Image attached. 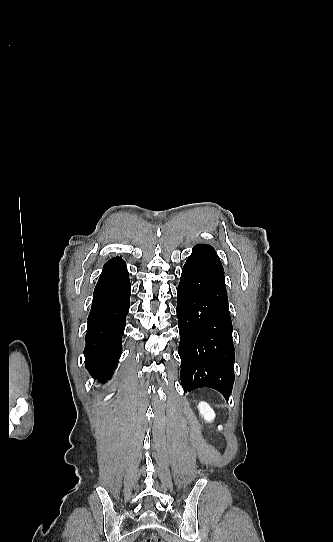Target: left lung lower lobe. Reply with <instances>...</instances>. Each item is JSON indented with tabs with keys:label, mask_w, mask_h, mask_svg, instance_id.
Wrapping results in <instances>:
<instances>
[{
	"label": "left lung lower lobe",
	"mask_w": 333,
	"mask_h": 542,
	"mask_svg": "<svg viewBox=\"0 0 333 542\" xmlns=\"http://www.w3.org/2000/svg\"><path fill=\"white\" fill-rule=\"evenodd\" d=\"M184 392L210 387L229 399L234 383L232 321L223 266L212 246L198 244L177 289Z\"/></svg>",
	"instance_id": "obj_1"
}]
</instances>
